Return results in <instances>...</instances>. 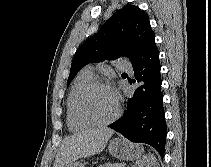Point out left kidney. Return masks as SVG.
Wrapping results in <instances>:
<instances>
[{"mask_svg":"<svg viewBox=\"0 0 211 167\" xmlns=\"http://www.w3.org/2000/svg\"><path fill=\"white\" fill-rule=\"evenodd\" d=\"M132 167H158V162L153 154H147L138 160Z\"/></svg>","mask_w":211,"mask_h":167,"instance_id":"5707ae66","label":"left kidney"}]
</instances>
